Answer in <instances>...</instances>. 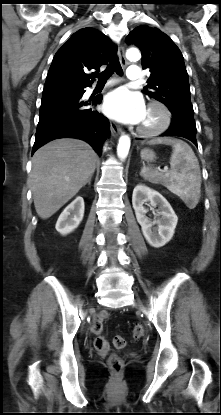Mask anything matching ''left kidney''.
<instances>
[{
  "label": "left kidney",
  "instance_id": "obj_1",
  "mask_svg": "<svg viewBox=\"0 0 221 415\" xmlns=\"http://www.w3.org/2000/svg\"><path fill=\"white\" fill-rule=\"evenodd\" d=\"M147 201H150L153 207H159L157 215L161 218L152 221L146 216L147 210L143 204ZM132 205L143 235L151 246L159 248L172 239L178 217L169 202L159 192L145 185H137L133 190ZM156 224L158 226L154 227Z\"/></svg>",
  "mask_w": 221,
  "mask_h": 415
}]
</instances>
